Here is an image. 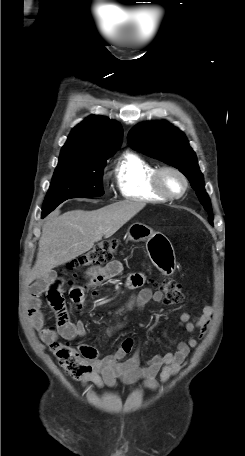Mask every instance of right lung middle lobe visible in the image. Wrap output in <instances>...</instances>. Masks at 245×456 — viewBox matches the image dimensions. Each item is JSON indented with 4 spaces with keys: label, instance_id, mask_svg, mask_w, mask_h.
<instances>
[{
    "label": "right lung middle lobe",
    "instance_id": "obj_1",
    "mask_svg": "<svg viewBox=\"0 0 245 456\" xmlns=\"http://www.w3.org/2000/svg\"><path fill=\"white\" fill-rule=\"evenodd\" d=\"M106 159L58 163L45 198L42 214L47 215L70 198L102 196L103 168Z\"/></svg>",
    "mask_w": 245,
    "mask_h": 456
}]
</instances>
